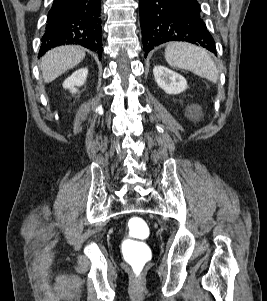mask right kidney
I'll use <instances>...</instances> for the list:
<instances>
[{
  "label": "right kidney",
  "instance_id": "1",
  "mask_svg": "<svg viewBox=\"0 0 267 301\" xmlns=\"http://www.w3.org/2000/svg\"><path fill=\"white\" fill-rule=\"evenodd\" d=\"M87 75H88L87 68L78 69L64 81L63 87L65 89H69L72 93H76L77 92L76 87H80L85 83L87 79Z\"/></svg>",
  "mask_w": 267,
  "mask_h": 301
}]
</instances>
